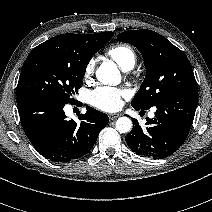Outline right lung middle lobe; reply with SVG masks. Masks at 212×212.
Wrapping results in <instances>:
<instances>
[{
	"label": "right lung middle lobe",
	"instance_id": "right-lung-middle-lobe-1",
	"mask_svg": "<svg viewBox=\"0 0 212 212\" xmlns=\"http://www.w3.org/2000/svg\"><path fill=\"white\" fill-rule=\"evenodd\" d=\"M113 35V32H103L90 39L77 40L65 55L30 53L21 71L17 97L37 95L72 103L71 95L83 85L91 57Z\"/></svg>",
	"mask_w": 212,
	"mask_h": 212
}]
</instances>
